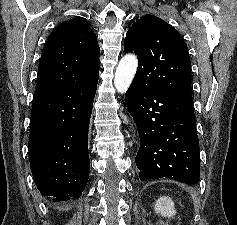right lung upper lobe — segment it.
I'll return each mask as SVG.
<instances>
[{"mask_svg":"<svg viewBox=\"0 0 237 225\" xmlns=\"http://www.w3.org/2000/svg\"><path fill=\"white\" fill-rule=\"evenodd\" d=\"M100 49L87 21L71 19L49 35L33 98L61 95L98 79Z\"/></svg>","mask_w":237,"mask_h":225,"instance_id":"cb5924a9","label":"right lung upper lobe"}]
</instances>
